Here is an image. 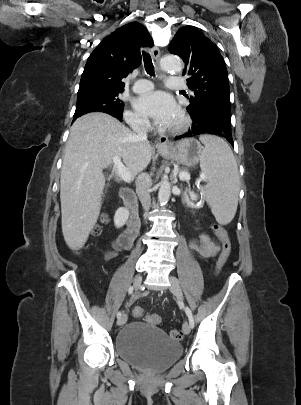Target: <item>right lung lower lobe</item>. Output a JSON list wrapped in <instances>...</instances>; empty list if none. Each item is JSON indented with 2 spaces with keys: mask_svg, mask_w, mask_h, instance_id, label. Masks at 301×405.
<instances>
[{
  "mask_svg": "<svg viewBox=\"0 0 301 405\" xmlns=\"http://www.w3.org/2000/svg\"><path fill=\"white\" fill-rule=\"evenodd\" d=\"M116 118H118L119 120L122 119V116H115ZM75 120V119H74Z\"/></svg>",
  "mask_w": 301,
  "mask_h": 405,
  "instance_id": "right-lung-lower-lobe-1",
  "label": "right lung lower lobe"
}]
</instances>
